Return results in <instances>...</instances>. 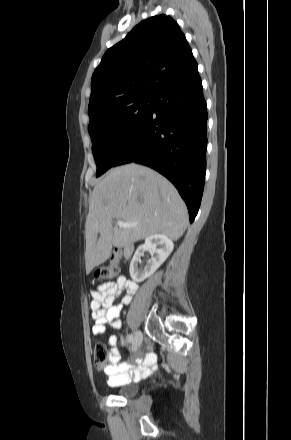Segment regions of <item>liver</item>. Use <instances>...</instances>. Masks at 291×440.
<instances>
[{"label": "liver", "mask_w": 291, "mask_h": 440, "mask_svg": "<svg viewBox=\"0 0 291 440\" xmlns=\"http://www.w3.org/2000/svg\"><path fill=\"white\" fill-rule=\"evenodd\" d=\"M115 219L137 225L118 228ZM187 225L186 205L165 177L134 163L111 169L95 185L90 198L85 227L86 273L108 259L112 246H126L154 234L176 241Z\"/></svg>", "instance_id": "1"}]
</instances>
